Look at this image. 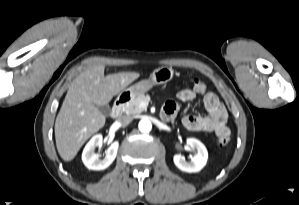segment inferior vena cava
<instances>
[{"instance_id": "obj_1", "label": "inferior vena cava", "mask_w": 299, "mask_h": 205, "mask_svg": "<svg viewBox=\"0 0 299 205\" xmlns=\"http://www.w3.org/2000/svg\"><path fill=\"white\" fill-rule=\"evenodd\" d=\"M131 120L132 119L130 116L123 115V116H120L117 121L120 125L126 126L131 122Z\"/></svg>"}]
</instances>
